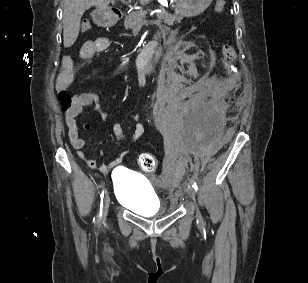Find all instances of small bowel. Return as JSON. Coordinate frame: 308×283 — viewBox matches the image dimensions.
Segmentation results:
<instances>
[{"mask_svg":"<svg viewBox=\"0 0 308 283\" xmlns=\"http://www.w3.org/2000/svg\"><path fill=\"white\" fill-rule=\"evenodd\" d=\"M110 46L109 39L100 37L95 40L87 41L82 49L81 54L86 58H91L101 52L106 51ZM142 75V74H141ZM76 77L75 70L73 68L72 61L65 59L62 63L60 73L57 77V89L59 91L68 90L74 83ZM94 105L95 109L100 113L103 120L108 119V114L103 110L99 104V97L94 92H85L73 97L72 106L66 111V123L69 128V139L72 147L76 150L77 155L82 159L89 168L96 169L97 163L94 159L87 156L84 151L85 141L79 137L76 130L75 118L82 112L84 107ZM139 119V117L137 118ZM145 128L142 123H138L133 132V140H138L144 134ZM114 134L121 140H125L126 135L120 124L113 126ZM122 162V156L116 158L114 161L108 164H102L99 169L103 173H107L113 167L119 165Z\"/></svg>","mask_w":308,"mask_h":283,"instance_id":"c3829d8e","label":"small bowel"}]
</instances>
